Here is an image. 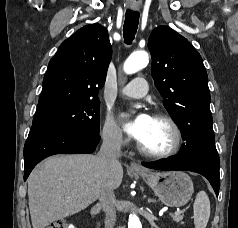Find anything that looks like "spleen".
<instances>
[{"mask_svg":"<svg viewBox=\"0 0 238 228\" xmlns=\"http://www.w3.org/2000/svg\"><path fill=\"white\" fill-rule=\"evenodd\" d=\"M193 211L195 228H206L210 217V200L205 191L197 193Z\"/></svg>","mask_w":238,"mask_h":228,"instance_id":"3e777b00","label":"spleen"}]
</instances>
